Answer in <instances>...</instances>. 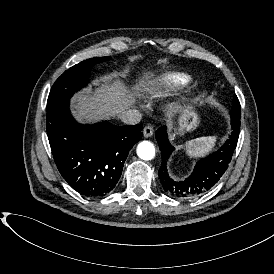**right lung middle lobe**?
Returning <instances> with one entry per match:
<instances>
[{"instance_id":"1","label":"right lung middle lobe","mask_w":274,"mask_h":274,"mask_svg":"<svg viewBox=\"0 0 274 274\" xmlns=\"http://www.w3.org/2000/svg\"><path fill=\"white\" fill-rule=\"evenodd\" d=\"M109 57H97L84 60L65 71L54 83L47 100V110L55 105L69 101L72 95L88 83L92 67Z\"/></svg>"}]
</instances>
